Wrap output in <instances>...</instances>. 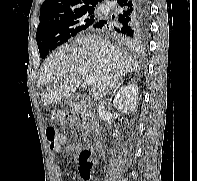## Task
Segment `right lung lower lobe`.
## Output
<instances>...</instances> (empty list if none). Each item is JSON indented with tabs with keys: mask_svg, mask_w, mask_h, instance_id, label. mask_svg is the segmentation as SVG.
Wrapping results in <instances>:
<instances>
[{
	"mask_svg": "<svg viewBox=\"0 0 197 181\" xmlns=\"http://www.w3.org/2000/svg\"><path fill=\"white\" fill-rule=\"evenodd\" d=\"M120 12L114 20H98L93 28L116 35L126 41L138 39L147 28L149 0H112Z\"/></svg>",
	"mask_w": 197,
	"mask_h": 181,
	"instance_id": "98d812e1",
	"label": "right lung lower lobe"
}]
</instances>
